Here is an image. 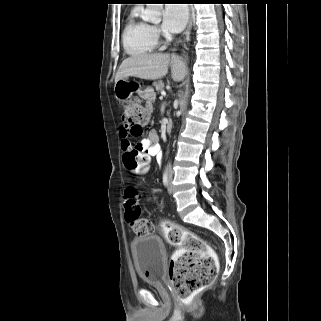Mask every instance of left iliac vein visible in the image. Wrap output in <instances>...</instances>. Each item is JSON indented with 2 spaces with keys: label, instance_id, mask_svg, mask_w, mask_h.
Listing matches in <instances>:
<instances>
[{
  "label": "left iliac vein",
  "instance_id": "4c4485c4",
  "mask_svg": "<svg viewBox=\"0 0 321 321\" xmlns=\"http://www.w3.org/2000/svg\"><path fill=\"white\" fill-rule=\"evenodd\" d=\"M171 179H172V175H169V185H168V192L171 194L172 192V185H171Z\"/></svg>",
  "mask_w": 321,
  "mask_h": 321
}]
</instances>
